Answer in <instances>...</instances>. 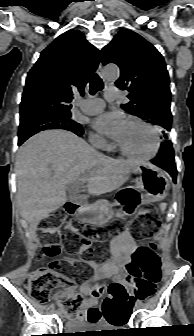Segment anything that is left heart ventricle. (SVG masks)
<instances>
[{
  "mask_svg": "<svg viewBox=\"0 0 194 336\" xmlns=\"http://www.w3.org/2000/svg\"><path fill=\"white\" fill-rule=\"evenodd\" d=\"M117 142L126 150L137 154H148L154 146V138L151 132L145 127L126 123L122 134Z\"/></svg>",
  "mask_w": 194,
  "mask_h": 336,
  "instance_id": "b2bd125f",
  "label": "left heart ventricle"
}]
</instances>
